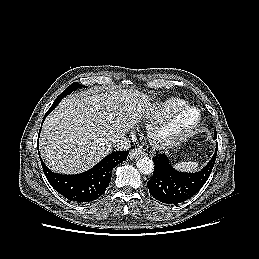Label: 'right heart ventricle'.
Here are the masks:
<instances>
[{
    "label": "right heart ventricle",
    "instance_id": "e07e8e85",
    "mask_svg": "<svg viewBox=\"0 0 259 259\" xmlns=\"http://www.w3.org/2000/svg\"><path fill=\"white\" fill-rule=\"evenodd\" d=\"M185 105V101L178 98L167 99L158 104L156 112L162 114H169L170 112Z\"/></svg>",
    "mask_w": 259,
    "mask_h": 259
}]
</instances>
